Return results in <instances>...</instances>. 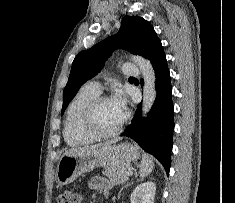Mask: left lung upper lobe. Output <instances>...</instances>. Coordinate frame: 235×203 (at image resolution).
Segmentation results:
<instances>
[{"mask_svg":"<svg viewBox=\"0 0 235 203\" xmlns=\"http://www.w3.org/2000/svg\"><path fill=\"white\" fill-rule=\"evenodd\" d=\"M159 40L153 26L148 21L142 17L124 16L121 28L116 35L106 38L88 50L81 51L75 57L69 80L63 91L61 114L79 88L101 71L105 61L115 49H125L147 58L152 47Z\"/></svg>","mask_w":235,"mask_h":203,"instance_id":"left-lung-upper-lobe-1","label":"left lung upper lobe"}]
</instances>
